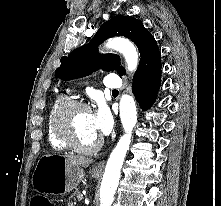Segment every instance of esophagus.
<instances>
[{"mask_svg": "<svg viewBox=\"0 0 221 206\" xmlns=\"http://www.w3.org/2000/svg\"><path fill=\"white\" fill-rule=\"evenodd\" d=\"M105 166V161H100L95 165V170H102Z\"/></svg>", "mask_w": 221, "mask_h": 206, "instance_id": "obj_1", "label": "esophagus"}]
</instances>
